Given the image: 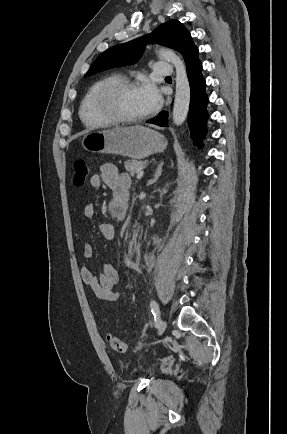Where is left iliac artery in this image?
Wrapping results in <instances>:
<instances>
[{"label": "left iliac artery", "instance_id": "44dca946", "mask_svg": "<svg viewBox=\"0 0 287 434\" xmlns=\"http://www.w3.org/2000/svg\"><path fill=\"white\" fill-rule=\"evenodd\" d=\"M150 307H151V311L153 313V315L156 317H159L160 315V310H159V305L155 300H152L150 303Z\"/></svg>", "mask_w": 287, "mask_h": 434}]
</instances>
